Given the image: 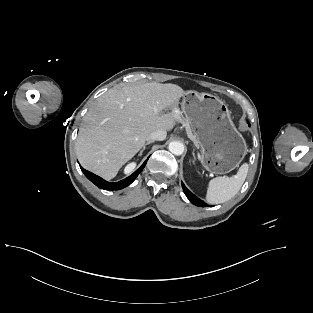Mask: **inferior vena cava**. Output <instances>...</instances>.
<instances>
[{
  "mask_svg": "<svg viewBox=\"0 0 313 313\" xmlns=\"http://www.w3.org/2000/svg\"><path fill=\"white\" fill-rule=\"evenodd\" d=\"M166 134L167 133L164 130H155L148 135L147 141H155V140L162 141L166 138Z\"/></svg>",
  "mask_w": 313,
  "mask_h": 313,
  "instance_id": "obj_1",
  "label": "inferior vena cava"
}]
</instances>
